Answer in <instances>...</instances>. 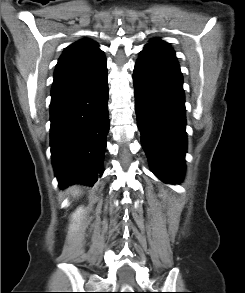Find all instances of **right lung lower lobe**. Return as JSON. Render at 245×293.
Wrapping results in <instances>:
<instances>
[{"label":"right lung lower lobe","mask_w":245,"mask_h":293,"mask_svg":"<svg viewBox=\"0 0 245 293\" xmlns=\"http://www.w3.org/2000/svg\"><path fill=\"white\" fill-rule=\"evenodd\" d=\"M107 68L51 95V157L59 186H92L103 173L109 131Z\"/></svg>","instance_id":"obj_1"}]
</instances>
